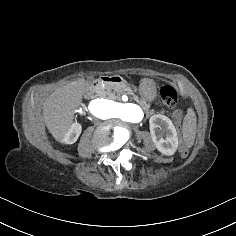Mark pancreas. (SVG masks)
<instances>
[{"label":"pancreas","mask_w":236,"mask_h":236,"mask_svg":"<svg viewBox=\"0 0 236 236\" xmlns=\"http://www.w3.org/2000/svg\"><path fill=\"white\" fill-rule=\"evenodd\" d=\"M97 94L101 98L115 99V100H120L121 99L120 96L122 94H131L134 100L137 101V103L142 107L143 110L148 112L150 108V104H148L144 99H139V97L136 96L133 93L132 89L126 84L115 85V86L107 85L104 88H102L101 85H98Z\"/></svg>","instance_id":"cf45deb5"}]
</instances>
